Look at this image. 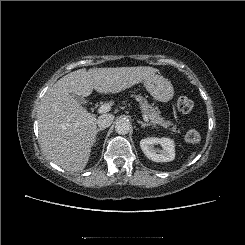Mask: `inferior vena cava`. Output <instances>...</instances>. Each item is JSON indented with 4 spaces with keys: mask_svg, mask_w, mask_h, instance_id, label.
Here are the masks:
<instances>
[{
    "mask_svg": "<svg viewBox=\"0 0 245 245\" xmlns=\"http://www.w3.org/2000/svg\"><path fill=\"white\" fill-rule=\"evenodd\" d=\"M114 120V115L112 114H103L98 117L97 124L99 128H107L109 127Z\"/></svg>",
    "mask_w": 245,
    "mask_h": 245,
    "instance_id": "602c4592",
    "label": "inferior vena cava"
}]
</instances>
